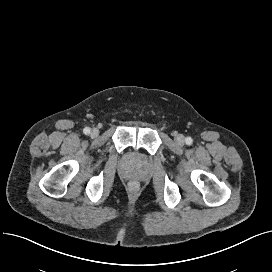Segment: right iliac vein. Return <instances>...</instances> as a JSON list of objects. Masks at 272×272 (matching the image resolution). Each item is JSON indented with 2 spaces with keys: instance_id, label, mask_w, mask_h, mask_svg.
I'll use <instances>...</instances> for the list:
<instances>
[{
  "instance_id": "obj_1",
  "label": "right iliac vein",
  "mask_w": 272,
  "mask_h": 272,
  "mask_svg": "<svg viewBox=\"0 0 272 272\" xmlns=\"http://www.w3.org/2000/svg\"><path fill=\"white\" fill-rule=\"evenodd\" d=\"M90 134L92 137H97L99 134V130L97 128H93Z\"/></svg>"
}]
</instances>
